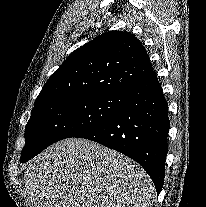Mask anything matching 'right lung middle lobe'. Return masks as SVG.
<instances>
[{
  "label": "right lung middle lobe",
  "mask_w": 206,
  "mask_h": 207,
  "mask_svg": "<svg viewBox=\"0 0 206 207\" xmlns=\"http://www.w3.org/2000/svg\"><path fill=\"white\" fill-rule=\"evenodd\" d=\"M124 101L125 94H92L58 97L34 105L20 160L99 125L118 112Z\"/></svg>",
  "instance_id": "obj_1"
}]
</instances>
